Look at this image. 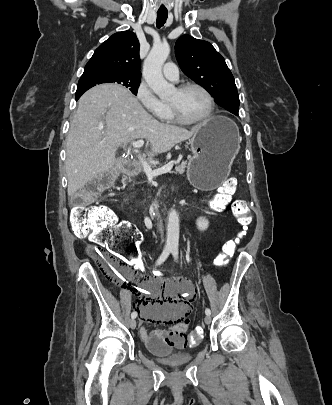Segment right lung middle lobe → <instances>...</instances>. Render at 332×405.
Listing matches in <instances>:
<instances>
[{
    "instance_id": "1",
    "label": "right lung middle lobe",
    "mask_w": 332,
    "mask_h": 405,
    "mask_svg": "<svg viewBox=\"0 0 332 405\" xmlns=\"http://www.w3.org/2000/svg\"><path fill=\"white\" fill-rule=\"evenodd\" d=\"M140 80L139 77H132L122 72L110 70L84 72L78 82L76 94L84 93L97 84L116 83L128 88L133 94L137 95Z\"/></svg>"
}]
</instances>
